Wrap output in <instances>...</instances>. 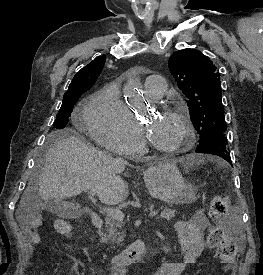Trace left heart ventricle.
Returning <instances> with one entry per match:
<instances>
[{"label": "left heart ventricle", "instance_id": "1", "mask_svg": "<svg viewBox=\"0 0 263 275\" xmlns=\"http://www.w3.org/2000/svg\"><path fill=\"white\" fill-rule=\"evenodd\" d=\"M145 129L149 140L162 147L175 146L183 135L178 120L168 115L153 114L146 118Z\"/></svg>", "mask_w": 263, "mask_h": 275}]
</instances>
